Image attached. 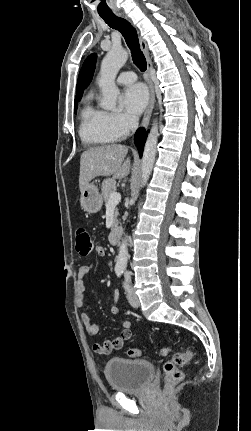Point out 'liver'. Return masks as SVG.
<instances>
[{
	"instance_id": "liver-1",
	"label": "liver",
	"mask_w": 251,
	"mask_h": 431,
	"mask_svg": "<svg viewBox=\"0 0 251 431\" xmlns=\"http://www.w3.org/2000/svg\"><path fill=\"white\" fill-rule=\"evenodd\" d=\"M128 148L121 144H111L90 148L80 158L79 188L82 191L95 177L111 176L116 179L126 177L130 172Z\"/></svg>"
}]
</instances>
